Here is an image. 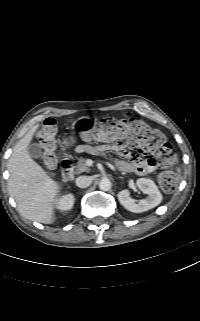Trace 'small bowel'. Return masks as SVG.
Wrapping results in <instances>:
<instances>
[{
    "label": "small bowel",
    "mask_w": 200,
    "mask_h": 321,
    "mask_svg": "<svg viewBox=\"0 0 200 321\" xmlns=\"http://www.w3.org/2000/svg\"><path fill=\"white\" fill-rule=\"evenodd\" d=\"M111 150L116 152V154H122L124 157H128L129 161L123 160H115L112 162V167L115 170L123 171V172H134L138 175H146L152 171H154L157 167L158 160L154 157H149L146 159H142L134 154L130 153L129 149H126L121 144L114 143H106L104 146L97 147H80V150H92V151H103V150Z\"/></svg>",
    "instance_id": "1"
}]
</instances>
